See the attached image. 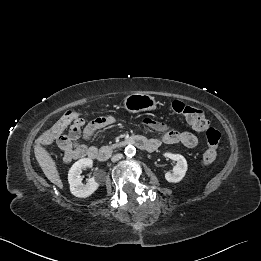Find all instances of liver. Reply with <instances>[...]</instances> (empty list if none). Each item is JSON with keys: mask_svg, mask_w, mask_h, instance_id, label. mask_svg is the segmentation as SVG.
Wrapping results in <instances>:
<instances>
[{"mask_svg": "<svg viewBox=\"0 0 261 261\" xmlns=\"http://www.w3.org/2000/svg\"><path fill=\"white\" fill-rule=\"evenodd\" d=\"M34 151L35 157L48 180L60 189H63V183L60 179L55 161L52 159L48 151L39 144L35 146Z\"/></svg>", "mask_w": 261, "mask_h": 261, "instance_id": "liver-1", "label": "liver"}]
</instances>
